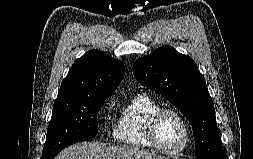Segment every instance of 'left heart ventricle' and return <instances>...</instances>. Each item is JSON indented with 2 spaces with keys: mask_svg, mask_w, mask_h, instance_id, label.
Listing matches in <instances>:
<instances>
[{
  "mask_svg": "<svg viewBox=\"0 0 253 159\" xmlns=\"http://www.w3.org/2000/svg\"><path fill=\"white\" fill-rule=\"evenodd\" d=\"M157 135L159 143L167 150L178 149L185 137L184 127L179 118L172 114H164L158 123Z\"/></svg>",
  "mask_w": 253,
  "mask_h": 159,
  "instance_id": "b2bd125f",
  "label": "left heart ventricle"
}]
</instances>
